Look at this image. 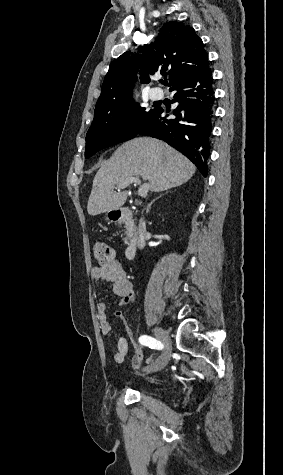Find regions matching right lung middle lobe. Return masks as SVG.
Wrapping results in <instances>:
<instances>
[{
	"mask_svg": "<svg viewBox=\"0 0 283 475\" xmlns=\"http://www.w3.org/2000/svg\"><path fill=\"white\" fill-rule=\"evenodd\" d=\"M156 110L157 108L147 111L133 99L96 108L93 123L86 135L85 158L106 147L133 139L155 115Z\"/></svg>",
	"mask_w": 283,
	"mask_h": 475,
	"instance_id": "obj_1",
	"label": "right lung middle lobe"
}]
</instances>
